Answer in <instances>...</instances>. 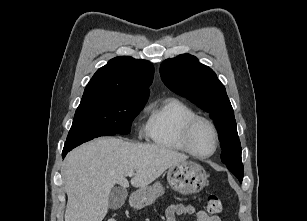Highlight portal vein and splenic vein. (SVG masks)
<instances>
[{
	"instance_id": "portal-vein-and-splenic-vein-1",
	"label": "portal vein and splenic vein",
	"mask_w": 307,
	"mask_h": 221,
	"mask_svg": "<svg viewBox=\"0 0 307 221\" xmlns=\"http://www.w3.org/2000/svg\"><path fill=\"white\" fill-rule=\"evenodd\" d=\"M133 175H134V172H133V171L127 172V176L132 177Z\"/></svg>"
}]
</instances>
